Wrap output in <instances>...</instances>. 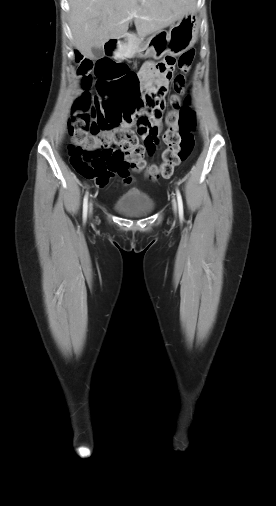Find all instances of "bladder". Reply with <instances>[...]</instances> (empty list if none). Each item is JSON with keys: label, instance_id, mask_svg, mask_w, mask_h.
<instances>
[{"label": "bladder", "instance_id": "obj_1", "mask_svg": "<svg viewBox=\"0 0 276 506\" xmlns=\"http://www.w3.org/2000/svg\"><path fill=\"white\" fill-rule=\"evenodd\" d=\"M113 207L120 214L130 217H141L154 211L155 202L146 193L135 191L117 198L113 203Z\"/></svg>", "mask_w": 276, "mask_h": 506}]
</instances>
